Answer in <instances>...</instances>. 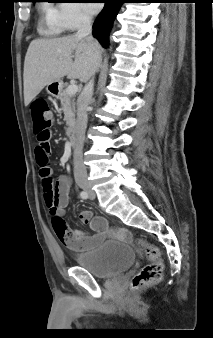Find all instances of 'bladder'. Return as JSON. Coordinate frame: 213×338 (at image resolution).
Instances as JSON below:
<instances>
[{
    "instance_id": "1",
    "label": "bladder",
    "mask_w": 213,
    "mask_h": 338,
    "mask_svg": "<svg viewBox=\"0 0 213 338\" xmlns=\"http://www.w3.org/2000/svg\"><path fill=\"white\" fill-rule=\"evenodd\" d=\"M75 260L80 268L86 269L97 279H109L129 268L135 260L131 246L127 243H100Z\"/></svg>"
}]
</instances>
